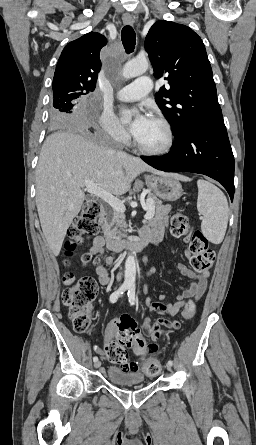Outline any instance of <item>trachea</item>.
Returning <instances> with one entry per match:
<instances>
[{"label":"trachea","instance_id":"trachea-1","mask_svg":"<svg viewBox=\"0 0 256 445\" xmlns=\"http://www.w3.org/2000/svg\"><path fill=\"white\" fill-rule=\"evenodd\" d=\"M121 40L126 53H132L135 49L136 34L131 26L126 25L123 27L121 32Z\"/></svg>","mask_w":256,"mask_h":445}]
</instances>
